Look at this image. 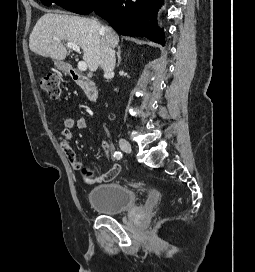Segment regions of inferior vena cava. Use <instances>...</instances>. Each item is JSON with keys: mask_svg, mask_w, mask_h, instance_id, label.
Masks as SVG:
<instances>
[{"mask_svg": "<svg viewBox=\"0 0 255 272\" xmlns=\"http://www.w3.org/2000/svg\"><path fill=\"white\" fill-rule=\"evenodd\" d=\"M99 64L104 71L105 77L113 73L115 67V51L108 46L105 41L102 42Z\"/></svg>", "mask_w": 255, "mask_h": 272, "instance_id": "obj_1", "label": "inferior vena cava"}]
</instances>
